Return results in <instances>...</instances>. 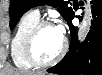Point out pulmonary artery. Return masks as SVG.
Returning a JSON list of instances; mask_svg holds the SVG:
<instances>
[{
  "instance_id": "1",
  "label": "pulmonary artery",
  "mask_w": 102,
  "mask_h": 75,
  "mask_svg": "<svg viewBox=\"0 0 102 75\" xmlns=\"http://www.w3.org/2000/svg\"><path fill=\"white\" fill-rule=\"evenodd\" d=\"M32 11H33L35 14H37L38 16H40V14H41V8H39V7L34 8Z\"/></svg>"
}]
</instances>
